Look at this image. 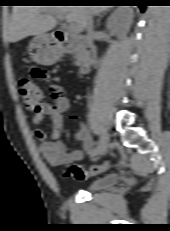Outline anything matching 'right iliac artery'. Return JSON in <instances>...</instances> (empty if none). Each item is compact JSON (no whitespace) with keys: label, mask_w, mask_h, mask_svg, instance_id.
<instances>
[{"label":"right iliac artery","mask_w":170,"mask_h":231,"mask_svg":"<svg viewBox=\"0 0 170 231\" xmlns=\"http://www.w3.org/2000/svg\"><path fill=\"white\" fill-rule=\"evenodd\" d=\"M98 148L99 146L95 149V151L91 154V157H94L98 154Z\"/></svg>","instance_id":"obj_1"}]
</instances>
